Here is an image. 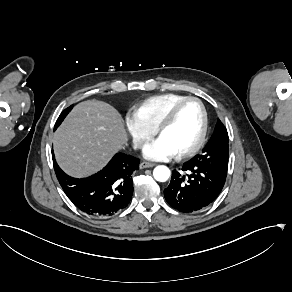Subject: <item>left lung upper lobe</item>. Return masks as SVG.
<instances>
[{
  "label": "left lung upper lobe",
  "instance_id": "1",
  "mask_svg": "<svg viewBox=\"0 0 292 292\" xmlns=\"http://www.w3.org/2000/svg\"><path fill=\"white\" fill-rule=\"evenodd\" d=\"M228 133L223 123L218 119L213 135L202 150L196 155L195 159L202 160L206 163L228 165Z\"/></svg>",
  "mask_w": 292,
  "mask_h": 292
}]
</instances>
